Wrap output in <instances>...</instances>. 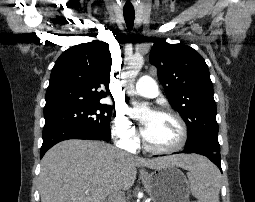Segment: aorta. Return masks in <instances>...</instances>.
Instances as JSON below:
<instances>
[{"label": "aorta", "instance_id": "aorta-1", "mask_svg": "<svg viewBox=\"0 0 255 202\" xmlns=\"http://www.w3.org/2000/svg\"><path fill=\"white\" fill-rule=\"evenodd\" d=\"M144 64V59L142 56H133L126 61V68L122 74L123 82L129 91L134 89V78L138 74L139 70ZM134 111L133 116L136 118H141L147 113H149L150 108L146 103L133 102Z\"/></svg>", "mask_w": 255, "mask_h": 202}]
</instances>
